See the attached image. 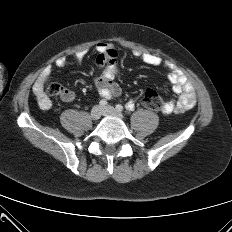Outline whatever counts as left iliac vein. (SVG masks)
<instances>
[{"instance_id":"obj_1","label":"left iliac vein","mask_w":232,"mask_h":232,"mask_svg":"<svg viewBox=\"0 0 232 232\" xmlns=\"http://www.w3.org/2000/svg\"><path fill=\"white\" fill-rule=\"evenodd\" d=\"M103 115L105 116H113L122 119L123 115L121 112L113 108L112 106H106L103 108Z\"/></svg>"}]
</instances>
